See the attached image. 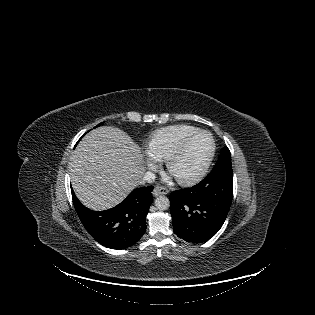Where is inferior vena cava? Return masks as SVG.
<instances>
[{"mask_svg":"<svg viewBox=\"0 0 315 315\" xmlns=\"http://www.w3.org/2000/svg\"><path fill=\"white\" fill-rule=\"evenodd\" d=\"M155 174L153 172H146L143 175L142 182L153 183L155 181Z\"/></svg>","mask_w":315,"mask_h":315,"instance_id":"obj_1","label":"inferior vena cava"}]
</instances>
